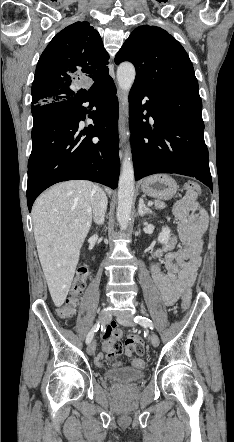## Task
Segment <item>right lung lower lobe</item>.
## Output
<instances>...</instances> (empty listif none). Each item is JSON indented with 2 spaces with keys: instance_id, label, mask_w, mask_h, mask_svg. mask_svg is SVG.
Here are the masks:
<instances>
[{
  "instance_id": "obj_1",
  "label": "right lung lower lobe",
  "mask_w": 234,
  "mask_h": 442,
  "mask_svg": "<svg viewBox=\"0 0 234 442\" xmlns=\"http://www.w3.org/2000/svg\"><path fill=\"white\" fill-rule=\"evenodd\" d=\"M84 102L96 110H87L82 106ZM87 114L95 125L81 131L79 122L85 120ZM32 115L27 184L29 211L42 191L61 181L84 179L112 189L117 187L119 109L111 77L96 82L81 97L32 106Z\"/></svg>"
}]
</instances>
